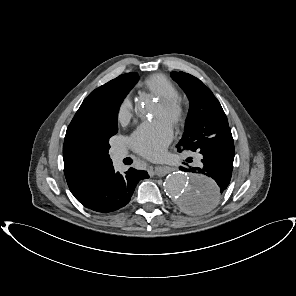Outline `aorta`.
Segmentation results:
<instances>
[{
    "label": "aorta",
    "mask_w": 296,
    "mask_h": 296,
    "mask_svg": "<svg viewBox=\"0 0 296 296\" xmlns=\"http://www.w3.org/2000/svg\"><path fill=\"white\" fill-rule=\"evenodd\" d=\"M145 113V109H139ZM164 190L176 207L184 213L202 214L211 210L217 202V184L212 178L202 175H187L177 171L169 174Z\"/></svg>",
    "instance_id": "762f6f07"
}]
</instances>
